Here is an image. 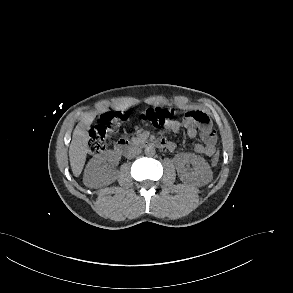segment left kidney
<instances>
[{
	"mask_svg": "<svg viewBox=\"0 0 293 293\" xmlns=\"http://www.w3.org/2000/svg\"><path fill=\"white\" fill-rule=\"evenodd\" d=\"M179 164L177 173L181 181L193 182L196 184H206L212 178V171L209 164L203 157L193 153H184L178 156ZM190 163L193 171H188L185 164Z\"/></svg>",
	"mask_w": 293,
	"mask_h": 293,
	"instance_id": "1",
	"label": "left kidney"
}]
</instances>
